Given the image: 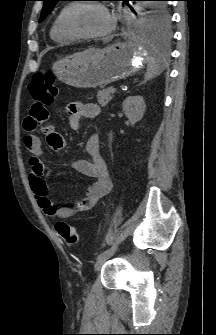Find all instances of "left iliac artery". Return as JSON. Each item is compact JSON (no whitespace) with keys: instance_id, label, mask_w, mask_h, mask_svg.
Segmentation results:
<instances>
[{"instance_id":"44dca946","label":"left iliac artery","mask_w":216,"mask_h":335,"mask_svg":"<svg viewBox=\"0 0 216 335\" xmlns=\"http://www.w3.org/2000/svg\"><path fill=\"white\" fill-rule=\"evenodd\" d=\"M116 250V246H111L105 250H103L98 256L97 259L103 258V257H108L110 255H112Z\"/></svg>"}]
</instances>
